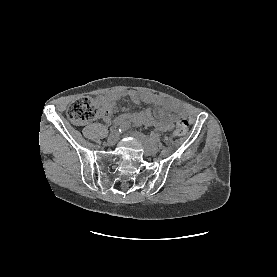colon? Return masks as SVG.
Returning a JSON list of instances; mask_svg holds the SVG:
<instances>
[{
    "label": "colon",
    "instance_id": "1",
    "mask_svg": "<svg viewBox=\"0 0 277 277\" xmlns=\"http://www.w3.org/2000/svg\"><path fill=\"white\" fill-rule=\"evenodd\" d=\"M105 114V108L99 105L94 99L81 96L74 100L67 111L68 117L75 123L81 124L96 120ZM189 122L185 118H180L173 125V134L182 136L186 134Z\"/></svg>",
    "mask_w": 277,
    "mask_h": 277
}]
</instances>
